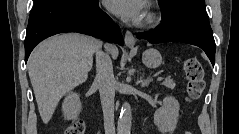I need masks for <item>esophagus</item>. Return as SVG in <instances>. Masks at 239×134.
<instances>
[{
  "mask_svg": "<svg viewBox=\"0 0 239 134\" xmlns=\"http://www.w3.org/2000/svg\"><path fill=\"white\" fill-rule=\"evenodd\" d=\"M124 41H125L126 47L131 49L135 48V38L130 31H126Z\"/></svg>",
  "mask_w": 239,
  "mask_h": 134,
  "instance_id": "1",
  "label": "esophagus"
}]
</instances>
